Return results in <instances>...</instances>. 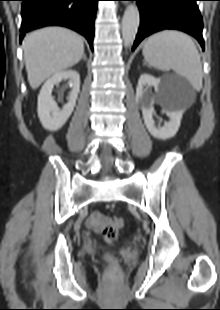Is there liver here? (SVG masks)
<instances>
[{
  "instance_id": "liver-1",
  "label": "liver",
  "mask_w": 220,
  "mask_h": 310,
  "mask_svg": "<svg viewBox=\"0 0 220 310\" xmlns=\"http://www.w3.org/2000/svg\"><path fill=\"white\" fill-rule=\"evenodd\" d=\"M28 82L38 88L46 79L77 64L84 54L82 37L62 27H47L23 41Z\"/></svg>"
}]
</instances>
